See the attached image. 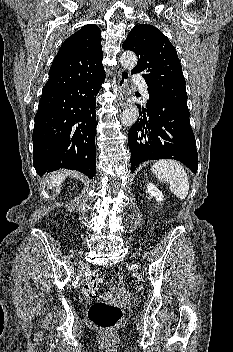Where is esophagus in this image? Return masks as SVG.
<instances>
[{
  "instance_id": "esophagus-1",
  "label": "esophagus",
  "mask_w": 233,
  "mask_h": 352,
  "mask_svg": "<svg viewBox=\"0 0 233 352\" xmlns=\"http://www.w3.org/2000/svg\"><path fill=\"white\" fill-rule=\"evenodd\" d=\"M129 79H130L129 72L125 69H120L118 74V92H119V101L122 108H125L130 105L129 97H128Z\"/></svg>"
}]
</instances>
